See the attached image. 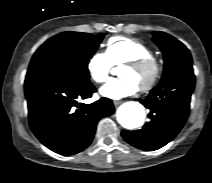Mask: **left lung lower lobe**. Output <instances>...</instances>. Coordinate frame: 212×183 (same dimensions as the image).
I'll return each mask as SVG.
<instances>
[{"mask_svg": "<svg viewBox=\"0 0 212 183\" xmlns=\"http://www.w3.org/2000/svg\"><path fill=\"white\" fill-rule=\"evenodd\" d=\"M194 86L192 66L182 68L161 81L141 101L150 109V121L141 130H123L124 140L146 151L157 150L173 140L187 120Z\"/></svg>", "mask_w": 212, "mask_h": 183, "instance_id": "1", "label": "left lung lower lobe"}]
</instances>
